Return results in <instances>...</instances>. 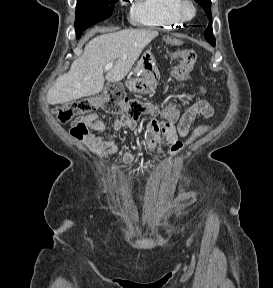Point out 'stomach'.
Instances as JSON below:
<instances>
[{
  "label": "stomach",
  "mask_w": 273,
  "mask_h": 288,
  "mask_svg": "<svg viewBox=\"0 0 273 288\" xmlns=\"http://www.w3.org/2000/svg\"><path fill=\"white\" fill-rule=\"evenodd\" d=\"M157 72L155 65V57L150 50L143 53L137 62L134 73L136 79L127 81L126 85L131 92L147 94L154 91L156 86V79L154 73Z\"/></svg>",
  "instance_id": "stomach-1"
}]
</instances>
